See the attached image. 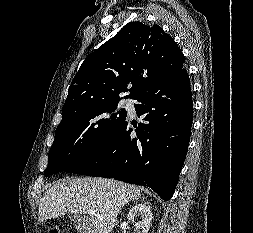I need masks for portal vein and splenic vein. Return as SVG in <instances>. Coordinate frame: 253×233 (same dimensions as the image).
Here are the masks:
<instances>
[{"mask_svg": "<svg viewBox=\"0 0 253 233\" xmlns=\"http://www.w3.org/2000/svg\"><path fill=\"white\" fill-rule=\"evenodd\" d=\"M88 212H89V214H91V215H96V211H95L94 209H90Z\"/></svg>", "mask_w": 253, "mask_h": 233, "instance_id": "18ae733b", "label": "portal vein and splenic vein"}]
</instances>
